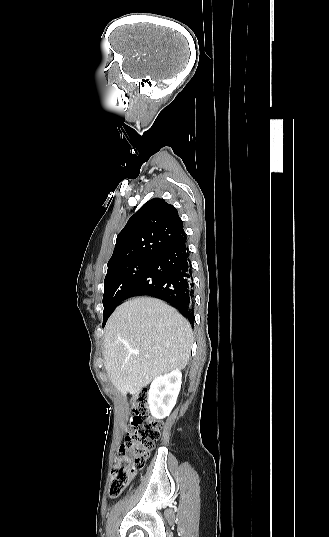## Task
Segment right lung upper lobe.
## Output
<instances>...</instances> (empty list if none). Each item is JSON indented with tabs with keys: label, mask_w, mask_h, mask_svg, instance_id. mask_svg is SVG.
Instances as JSON below:
<instances>
[{
	"label": "right lung upper lobe",
	"mask_w": 329,
	"mask_h": 537,
	"mask_svg": "<svg viewBox=\"0 0 329 537\" xmlns=\"http://www.w3.org/2000/svg\"><path fill=\"white\" fill-rule=\"evenodd\" d=\"M185 236L178 211L153 198L131 216L118 234L108 270L133 260L154 259Z\"/></svg>",
	"instance_id": "obj_1"
}]
</instances>
